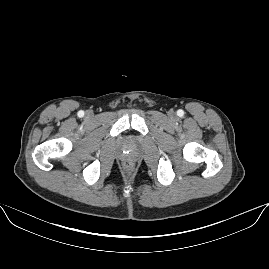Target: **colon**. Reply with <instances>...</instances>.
Here are the masks:
<instances>
[{
	"mask_svg": "<svg viewBox=\"0 0 269 269\" xmlns=\"http://www.w3.org/2000/svg\"><path fill=\"white\" fill-rule=\"evenodd\" d=\"M133 166L130 162H125L123 164V169L126 171V172H130L132 170Z\"/></svg>",
	"mask_w": 269,
	"mask_h": 269,
	"instance_id": "obj_1",
	"label": "colon"
}]
</instances>
